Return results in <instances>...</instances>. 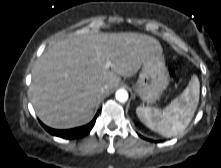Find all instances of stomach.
<instances>
[{"instance_id":"obj_1","label":"stomach","mask_w":221,"mask_h":168,"mask_svg":"<svg viewBox=\"0 0 221 168\" xmlns=\"http://www.w3.org/2000/svg\"><path fill=\"white\" fill-rule=\"evenodd\" d=\"M168 83L164 58L162 55L154 54L143 62L133 89L144 102L153 103L159 99Z\"/></svg>"}]
</instances>
